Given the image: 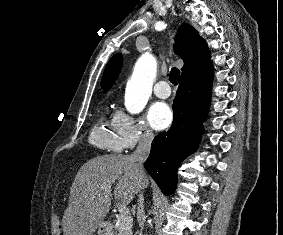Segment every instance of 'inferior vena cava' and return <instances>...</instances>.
<instances>
[{
  "instance_id": "obj_1",
  "label": "inferior vena cava",
  "mask_w": 283,
  "mask_h": 235,
  "mask_svg": "<svg viewBox=\"0 0 283 235\" xmlns=\"http://www.w3.org/2000/svg\"><path fill=\"white\" fill-rule=\"evenodd\" d=\"M152 140L153 134L152 132L147 130L140 136L136 150L130 155V159L134 161L137 171L140 174L144 172L143 163L149 156ZM139 192L140 194L138 198L137 221L140 227V231L142 232L145 227L146 218L144 214L143 195L141 193V190Z\"/></svg>"
}]
</instances>
